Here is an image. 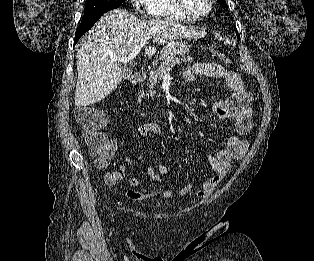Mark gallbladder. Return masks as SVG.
<instances>
[{
  "mask_svg": "<svg viewBox=\"0 0 314 261\" xmlns=\"http://www.w3.org/2000/svg\"><path fill=\"white\" fill-rule=\"evenodd\" d=\"M131 75H132L131 69L125 68V69L123 70V79H124V80H128Z\"/></svg>",
  "mask_w": 314,
  "mask_h": 261,
  "instance_id": "gallbladder-1",
  "label": "gallbladder"
}]
</instances>
